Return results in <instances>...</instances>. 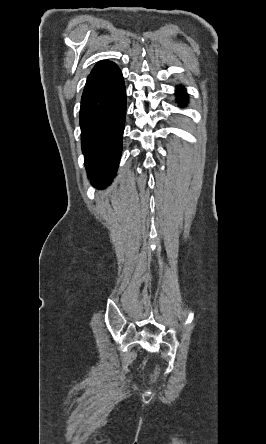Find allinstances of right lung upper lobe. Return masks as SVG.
Here are the masks:
<instances>
[{
	"instance_id": "right-lung-upper-lobe-1",
	"label": "right lung upper lobe",
	"mask_w": 266,
	"mask_h": 444,
	"mask_svg": "<svg viewBox=\"0 0 266 444\" xmlns=\"http://www.w3.org/2000/svg\"><path fill=\"white\" fill-rule=\"evenodd\" d=\"M105 61H100L99 63H97L96 65H95V67L93 68V70L95 69V68H97L98 66H100L102 63H104Z\"/></svg>"
}]
</instances>
